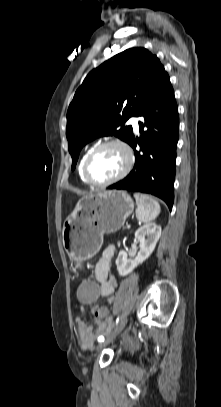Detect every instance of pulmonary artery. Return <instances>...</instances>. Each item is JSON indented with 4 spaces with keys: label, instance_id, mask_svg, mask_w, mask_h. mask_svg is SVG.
Instances as JSON below:
<instances>
[{
    "label": "pulmonary artery",
    "instance_id": "e3ab8cb5",
    "mask_svg": "<svg viewBox=\"0 0 221 407\" xmlns=\"http://www.w3.org/2000/svg\"><path fill=\"white\" fill-rule=\"evenodd\" d=\"M129 122L132 124L133 128L137 131L139 128V118L138 117H132Z\"/></svg>",
    "mask_w": 221,
    "mask_h": 407
}]
</instances>
